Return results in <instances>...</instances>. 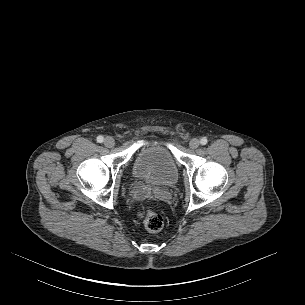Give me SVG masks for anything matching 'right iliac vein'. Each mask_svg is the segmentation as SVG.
Returning <instances> with one entry per match:
<instances>
[{
  "label": "right iliac vein",
  "instance_id": "63e3f726",
  "mask_svg": "<svg viewBox=\"0 0 305 305\" xmlns=\"http://www.w3.org/2000/svg\"><path fill=\"white\" fill-rule=\"evenodd\" d=\"M104 144H105L106 147L111 148L115 145V141L112 137L108 136V137L105 138Z\"/></svg>",
  "mask_w": 305,
  "mask_h": 305
}]
</instances>
